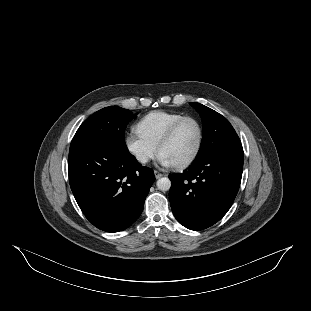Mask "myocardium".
Instances as JSON below:
<instances>
[{
    "label": "myocardium",
    "instance_id": "f54148a6",
    "mask_svg": "<svg viewBox=\"0 0 311 311\" xmlns=\"http://www.w3.org/2000/svg\"><path fill=\"white\" fill-rule=\"evenodd\" d=\"M188 119H194L200 128V139H199V144L197 147V150L195 154L187 161L180 163L178 165H175L179 169H184L192 166L201 156L203 149H204V144L206 140V129L203 121L196 115H185L181 117L176 123L172 125V127L168 130V132L162 137L160 140L158 146H157V151L160 154L161 150L171 143L173 139L175 138L178 130L180 129L181 125L187 121Z\"/></svg>",
    "mask_w": 311,
    "mask_h": 311
}]
</instances>
